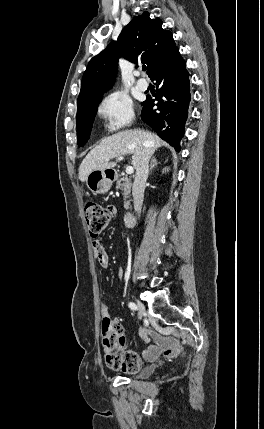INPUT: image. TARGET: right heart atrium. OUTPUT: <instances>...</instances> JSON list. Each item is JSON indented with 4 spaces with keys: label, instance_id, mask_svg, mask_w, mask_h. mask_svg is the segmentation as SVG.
I'll list each match as a JSON object with an SVG mask.
<instances>
[{
    "label": "right heart atrium",
    "instance_id": "obj_1",
    "mask_svg": "<svg viewBox=\"0 0 264 429\" xmlns=\"http://www.w3.org/2000/svg\"><path fill=\"white\" fill-rule=\"evenodd\" d=\"M104 128L114 132L129 126L134 120L132 101L120 92L104 96L97 108Z\"/></svg>",
    "mask_w": 264,
    "mask_h": 429
}]
</instances>
